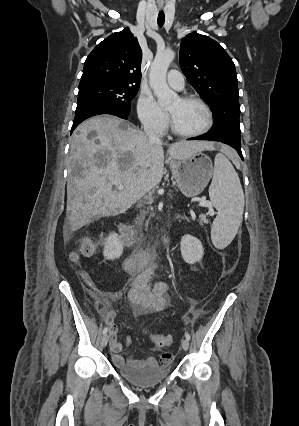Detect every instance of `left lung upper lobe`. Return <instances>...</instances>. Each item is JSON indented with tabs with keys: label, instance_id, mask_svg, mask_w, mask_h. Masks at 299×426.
Here are the masks:
<instances>
[{
	"label": "left lung upper lobe",
	"instance_id": "1",
	"mask_svg": "<svg viewBox=\"0 0 299 426\" xmlns=\"http://www.w3.org/2000/svg\"><path fill=\"white\" fill-rule=\"evenodd\" d=\"M180 65L188 82L214 113L210 133L240 140V105L235 65L219 43L192 32L180 46Z\"/></svg>",
	"mask_w": 299,
	"mask_h": 426
}]
</instances>
